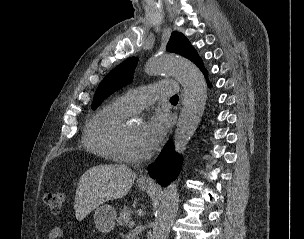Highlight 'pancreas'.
<instances>
[{
    "label": "pancreas",
    "mask_w": 304,
    "mask_h": 239,
    "mask_svg": "<svg viewBox=\"0 0 304 239\" xmlns=\"http://www.w3.org/2000/svg\"><path fill=\"white\" fill-rule=\"evenodd\" d=\"M132 218V211L128 207H124L120 210L119 217L117 218V223L119 225L129 224Z\"/></svg>",
    "instance_id": "cf45deb5"
}]
</instances>
